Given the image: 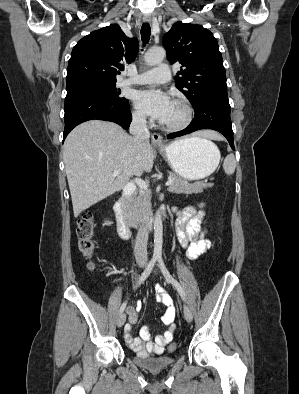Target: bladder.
Returning a JSON list of instances; mask_svg holds the SVG:
<instances>
[{
    "mask_svg": "<svg viewBox=\"0 0 299 394\" xmlns=\"http://www.w3.org/2000/svg\"><path fill=\"white\" fill-rule=\"evenodd\" d=\"M176 357L174 355H163V356H148V357H141L135 356L133 358L134 363L150 372V373H158L164 369L171 367L175 363Z\"/></svg>",
    "mask_w": 299,
    "mask_h": 394,
    "instance_id": "obj_1",
    "label": "bladder"
}]
</instances>
